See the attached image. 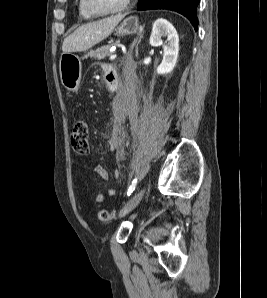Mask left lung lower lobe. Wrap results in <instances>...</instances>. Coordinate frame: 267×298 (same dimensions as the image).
Returning <instances> with one entry per match:
<instances>
[{
  "label": "left lung lower lobe",
  "mask_w": 267,
  "mask_h": 298,
  "mask_svg": "<svg viewBox=\"0 0 267 298\" xmlns=\"http://www.w3.org/2000/svg\"><path fill=\"white\" fill-rule=\"evenodd\" d=\"M199 0H139L138 10L167 9L187 17L197 31V6Z\"/></svg>",
  "instance_id": "left-lung-lower-lobe-1"
}]
</instances>
